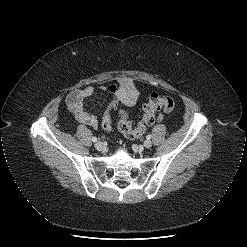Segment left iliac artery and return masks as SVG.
Segmentation results:
<instances>
[{"label":"left iliac artery","mask_w":247,"mask_h":247,"mask_svg":"<svg viewBox=\"0 0 247 247\" xmlns=\"http://www.w3.org/2000/svg\"><path fill=\"white\" fill-rule=\"evenodd\" d=\"M151 137H152V135H151V134H148V135L146 136L147 140H150V139H151Z\"/></svg>","instance_id":"44dca946"}]
</instances>
